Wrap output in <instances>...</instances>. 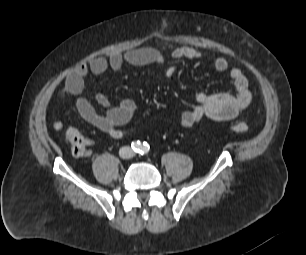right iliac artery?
I'll list each match as a JSON object with an SVG mask.
<instances>
[{
  "mask_svg": "<svg viewBox=\"0 0 306 255\" xmlns=\"http://www.w3.org/2000/svg\"><path fill=\"white\" fill-rule=\"evenodd\" d=\"M131 147L135 152H139L142 148V145L139 141H135V142H132Z\"/></svg>",
  "mask_w": 306,
  "mask_h": 255,
  "instance_id": "right-iliac-artery-1",
  "label": "right iliac artery"
}]
</instances>
